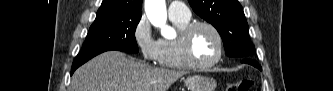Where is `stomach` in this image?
<instances>
[{"label": "stomach", "mask_w": 333, "mask_h": 91, "mask_svg": "<svg viewBox=\"0 0 333 91\" xmlns=\"http://www.w3.org/2000/svg\"><path fill=\"white\" fill-rule=\"evenodd\" d=\"M185 85L188 91H214L217 83L211 77L195 75L187 77L185 79Z\"/></svg>", "instance_id": "1"}]
</instances>
